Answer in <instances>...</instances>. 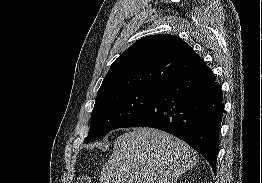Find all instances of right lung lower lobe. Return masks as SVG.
Segmentation results:
<instances>
[{
  "instance_id": "98d812e1",
  "label": "right lung lower lobe",
  "mask_w": 262,
  "mask_h": 183,
  "mask_svg": "<svg viewBox=\"0 0 262 183\" xmlns=\"http://www.w3.org/2000/svg\"><path fill=\"white\" fill-rule=\"evenodd\" d=\"M222 90L205 64L161 86L144 110L124 127H153L185 141L216 174Z\"/></svg>"
}]
</instances>
